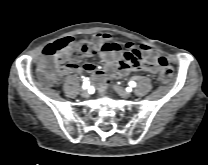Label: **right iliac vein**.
<instances>
[{
	"label": "right iliac vein",
	"instance_id": "63e3f726",
	"mask_svg": "<svg viewBox=\"0 0 208 165\" xmlns=\"http://www.w3.org/2000/svg\"><path fill=\"white\" fill-rule=\"evenodd\" d=\"M81 95H82L83 97H88V96H89L88 90H83V91L81 92Z\"/></svg>",
	"mask_w": 208,
	"mask_h": 165
}]
</instances>
